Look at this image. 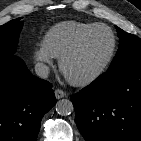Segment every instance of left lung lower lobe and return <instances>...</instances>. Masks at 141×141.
Wrapping results in <instances>:
<instances>
[{"instance_id":"obj_1","label":"left lung lower lobe","mask_w":141,"mask_h":141,"mask_svg":"<svg viewBox=\"0 0 141 141\" xmlns=\"http://www.w3.org/2000/svg\"><path fill=\"white\" fill-rule=\"evenodd\" d=\"M71 100L86 141L141 140V62L107 71Z\"/></svg>"}]
</instances>
